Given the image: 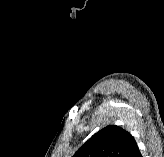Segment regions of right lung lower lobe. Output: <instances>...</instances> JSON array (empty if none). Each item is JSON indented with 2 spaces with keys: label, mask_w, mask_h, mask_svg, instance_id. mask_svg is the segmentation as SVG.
Segmentation results:
<instances>
[{
  "label": "right lung lower lobe",
  "mask_w": 164,
  "mask_h": 157,
  "mask_svg": "<svg viewBox=\"0 0 164 157\" xmlns=\"http://www.w3.org/2000/svg\"><path fill=\"white\" fill-rule=\"evenodd\" d=\"M129 157H142L138 146H136L134 148V150L131 152V154L129 155Z\"/></svg>",
  "instance_id": "right-lung-lower-lobe-1"
}]
</instances>
